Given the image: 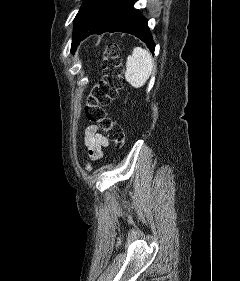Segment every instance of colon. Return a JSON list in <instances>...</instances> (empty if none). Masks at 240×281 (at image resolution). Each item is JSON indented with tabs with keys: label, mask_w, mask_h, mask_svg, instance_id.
<instances>
[{
	"label": "colon",
	"mask_w": 240,
	"mask_h": 281,
	"mask_svg": "<svg viewBox=\"0 0 240 281\" xmlns=\"http://www.w3.org/2000/svg\"><path fill=\"white\" fill-rule=\"evenodd\" d=\"M124 84L119 47L116 43H109L102 61L101 77L87 96L85 114L90 122L103 129L118 148L125 143L124 131L107 115L105 107L117 98Z\"/></svg>",
	"instance_id": "colon-1"
}]
</instances>
